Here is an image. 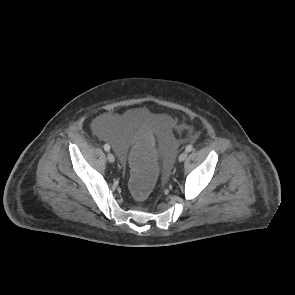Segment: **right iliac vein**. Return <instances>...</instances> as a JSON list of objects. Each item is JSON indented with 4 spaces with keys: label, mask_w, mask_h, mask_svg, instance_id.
I'll use <instances>...</instances> for the list:
<instances>
[{
    "label": "right iliac vein",
    "mask_w": 295,
    "mask_h": 295,
    "mask_svg": "<svg viewBox=\"0 0 295 295\" xmlns=\"http://www.w3.org/2000/svg\"><path fill=\"white\" fill-rule=\"evenodd\" d=\"M107 159L110 163H113L115 161V157L112 153L107 154Z\"/></svg>",
    "instance_id": "1"
}]
</instances>
